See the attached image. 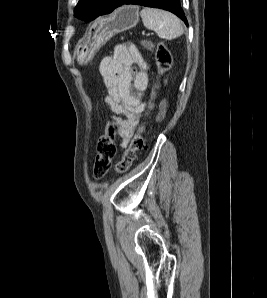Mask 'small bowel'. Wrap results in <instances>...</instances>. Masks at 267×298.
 <instances>
[{
	"mask_svg": "<svg viewBox=\"0 0 267 298\" xmlns=\"http://www.w3.org/2000/svg\"><path fill=\"white\" fill-rule=\"evenodd\" d=\"M133 65L141 69L135 75ZM148 69V63L133 45L116 46L113 54L103 58L99 65L106 90L103 101L112 112L105 124L115 127L123 145L133 136L145 109L143 96L149 82Z\"/></svg>",
	"mask_w": 267,
	"mask_h": 298,
	"instance_id": "c3829d8e",
	"label": "small bowel"
}]
</instances>
